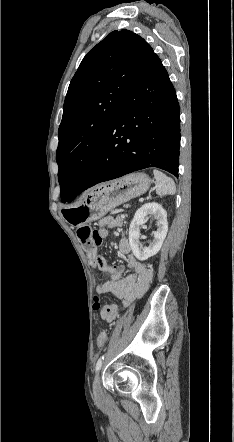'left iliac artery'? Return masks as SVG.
I'll use <instances>...</instances> for the list:
<instances>
[{
	"mask_svg": "<svg viewBox=\"0 0 234 442\" xmlns=\"http://www.w3.org/2000/svg\"><path fill=\"white\" fill-rule=\"evenodd\" d=\"M103 360H104V356H102V357H100L99 359H98V361H97V363H96V371H98L100 368H101V366H102V363H103Z\"/></svg>",
	"mask_w": 234,
	"mask_h": 442,
	"instance_id": "obj_1",
	"label": "left iliac artery"
}]
</instances>
